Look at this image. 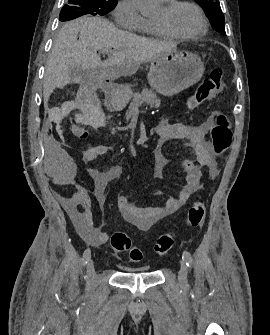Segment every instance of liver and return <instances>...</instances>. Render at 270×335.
Returning a JSON list of instances; mask_svg holds the SVG:
<instances>
[{"instance_id": "1", "label": "liver", "mask_w": 270, "mask_h": 335, "mask_svg": "<svg viewBox=\"0 0 270 335\" xmlns=\"http://www.w3.org/2000/svg\"><path fill=\"white\" fill-rule=\"evenodd\" d=\"M98 50H113V54L101 62ZM164 52H176V44L156 42L131 32H123L100 16H83L67 22L54 40L44 74V108H47L55 88L62 90L70 84V70L75 66L82 68L83 72L108 68L111 78L133 76L141 64Z\"/></svg>"}]
</instances>
